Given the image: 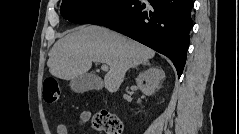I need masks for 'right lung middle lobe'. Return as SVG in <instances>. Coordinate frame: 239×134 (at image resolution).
<instances>
[{
	"mask_svg": "<svg viewBox=\"0 0 239 134\" xmlns=\"http://www.w3.org/2000/svg\"><path fill=\"white\" fill-rule=\"evenodd\" d=\"M118 2L120 0H62L60 12L70 22L83 24Z\"/></svg>",
	"mask_w": 239,
	"mask_h": 134,
	"instance_id": "right-lung-middle-lobe-1",
	"label": "right lung middle lobe"
}]
</instances>
